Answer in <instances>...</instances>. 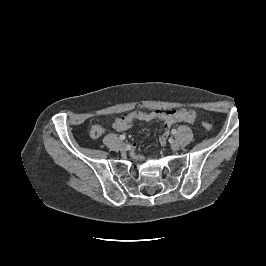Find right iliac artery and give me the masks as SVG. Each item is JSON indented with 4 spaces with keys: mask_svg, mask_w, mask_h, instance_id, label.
<instances>
[{
    "mask_svg": "<svg viewBox=\"0 0 266 266\" xmlns=\"http://www.w3.org/2000/svg\"><path fill=\"white\" fill-rule=\"evenodd\" d=\"M119 139L120 140H125L126 139V136L122 134V135L119 136Z\"/></svg>",
    "mask_w": 266,
    "mask_h": 266,
    "instance_id": "right-iliac-artery-1",
    "label": "right iliac artery"
}]
</instances>
